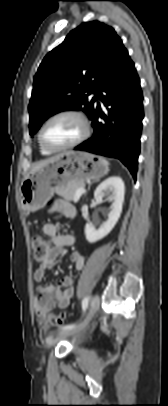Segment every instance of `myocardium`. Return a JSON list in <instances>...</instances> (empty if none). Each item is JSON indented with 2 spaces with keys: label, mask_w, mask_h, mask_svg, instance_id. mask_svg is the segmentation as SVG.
<instances>
[{
  "label": "myocardium",
  "mask_w": 168,
  "mask_h": 406,
  "mask_svg": "<svg viewBox=\"0 0 168 406\" xmlns=\"http://www.w3.org/2000/svg\"><path fill=\"white\" fill-rule=\"evenodd\" d=\"M63 116H71V117L76 118L81 123L82 132L77 139H75L73 142H71L67 145H64V146L49 145L48 143H46V141L44 139V130L51 121H53L59 117H63ZM90 133H91L90 123L84 113H82L81 111L76 110V109H64V110L54 113L43 123V125L41 126L39 133H38V141H39L40 145L43 148H45L46 150H49L52 152H57V151L71 149V148H74V147L80 145L89 137Z\"/></svg>",
  "instance_id": "1"
}]
</instances>
